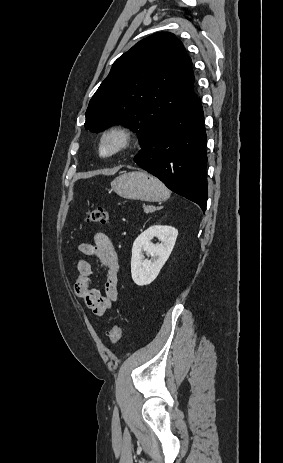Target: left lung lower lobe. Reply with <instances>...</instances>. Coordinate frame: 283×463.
<instances>
[{"mask_svg": "<svg viewBox=\"0 0 283 463\" xmlns=\"http://www.w3.org/2000/svg\"><path fill=\"white\" fill-rule=\"evenodd\" d=\"M207 160L204 114L197 95L161 124L134 157L139 167L197 203L203 212L208 194Z\"/></svg>", "mask_w": 283, "mask_h": 463, "instance_id": "left-lung-lower-lobe-1", "label": "left lung lower lobe"}]
</instances>
